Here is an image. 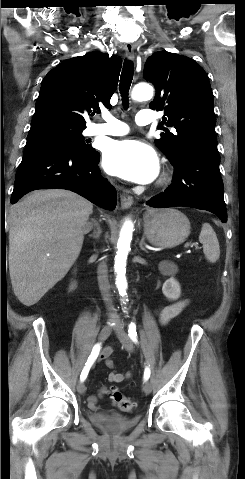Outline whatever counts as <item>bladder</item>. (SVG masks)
<instances>
[{
  "mask_svg": "<svg viewBox=\"0 0 245 479\" xmlns=\"http://www.w3.org/2000/svg\"><path fill=\"white\" fill-rule=\"evenodd\" d=\"M137 422L136 418H127V417H112V418H101L94 417L92 423L103 430L104 432L112 435H117L129 430Z\"/></svg>",
  "mask_w": 245,
  "mask_h": 479,
  "instance_id": "1",
  "label": "bladder"
}]
</instances>
